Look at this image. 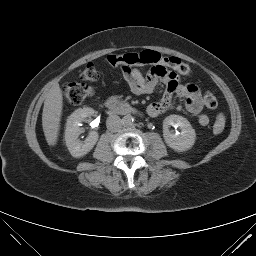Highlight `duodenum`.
<instances>
[{
	"instance_id": "obj_1",
	"label": "duodenum",
	"mask_w": 256,
	"mask_h": 256,
	"mask_svg": "<svg viewBox=\"0 0 256 256\" xmlns=\"http://www.w3.org/2000/svg\"><path fill=\"white\" fill-rule=\"evenodd\" d=\"M105 106L110 112L117 114L125 115L136 112L132 106L115 98L108 99L105 103Z\"/></svg>"
}]
</instances>
